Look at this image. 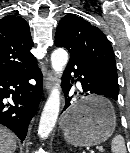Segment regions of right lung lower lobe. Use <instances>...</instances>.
I'll use <instances>...</instances> for the list:
<instances>
[{
    "mask_svg": "<svg viewBox=\"0 0 130 153\" xmlns=\"http://www.w3.org/2000/svg\"><path fill=\"white\" fill-rule=\"evenodd\" d=\"M36 80V85L29 83ZM42 73L36 66L0 75V124L11 129L21 141L25 139L28 124L35 115L42 96ZM12 99L14 105L4 101Z\"/></svg>",
    "mask_w": 130,
    "mask_h": 153,
    "instance_id": "right-lung-lower-lobe-1",
    "label": "right lung lower lobe"
}]
</instances>
